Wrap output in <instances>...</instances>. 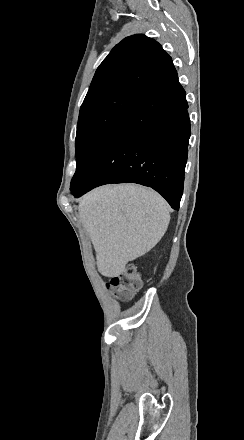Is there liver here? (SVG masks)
Wrapping results in <instances>:
<instances>
[{
    "instance_id": "1",
    "label": "liver",
    "mask_w": 244,
    "mask_h": 440,
    "mask_svg": "<svg viewBox=\"0 0 244 440\" xmlns=\"http://www.w3.org/2000/svg\"><path fill=\"white\" fill-rule=\"evenodd\" d=\"M78 212L106 278H118L128 262L150 252L170 222L162 196L137 184L96 188L79 200Z\"/></svg>"
}]
</instances>
